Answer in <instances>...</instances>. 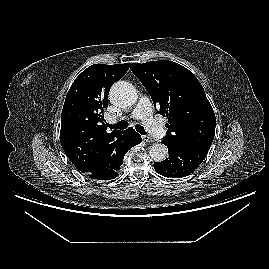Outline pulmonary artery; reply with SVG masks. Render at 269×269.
Masks as SVG:
<instances>
[{"instance_id":"obj_1","label":"pulmonary artery","mask_w":269,"mask_h":269,"mask_svg":"<svg viewBox=\"0 0 269 269\" xmlns=\"http://www.w3.org/2000/svg\"><path fill=\"white\" fill-rule=\"evenodd\" d=\"M152 115L153 110L150 100L147 97H142L134 108L132 117L141 119L145 129L150 133L152 137L157 139L162 138L165 135L166 130L152 117ZM109 121L111 123H116L117 118L110 117Z\"/></svg>"}]
</instances>
